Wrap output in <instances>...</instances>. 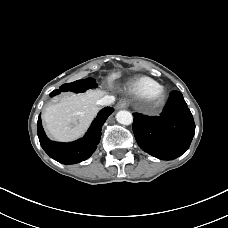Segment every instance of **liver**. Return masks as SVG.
Instances as JSON below:
<instances>
[{"instance_id": "obj_1", "label": "liver", "mask_w": 228, "mask_h": 228, "mask_svg": "<svg viewBox=\"0 0 228 228\" xmlns=\"http://www.w3.org/2000/svg\"><path fill=\"white\" fill-rule=\"evenodd\" d=\"M103 90H89L60 99L45 109L43 120L49 135L58 141H71L80 137L98 112L97 101Z\"/></svg>"}]
</instances>
